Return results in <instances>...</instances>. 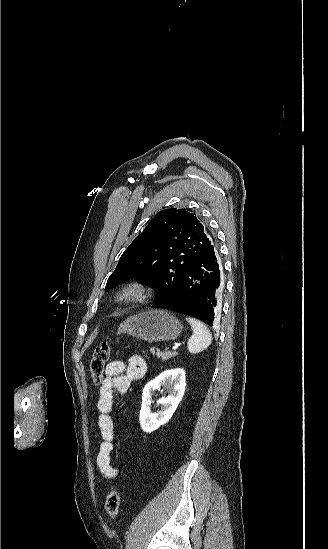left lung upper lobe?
<instances>
[{
  "label": "left lung upper lobe",
  "instance_id": "obj_1",
  "mask_svg": "<svg viewBox=\"0 0 328 549\" xmlns=\"http://www.w3.org/2000/svg\"><path fill=\"white\" fill-rule=\"evenodd\" d=\"M210 246L194 214L185 209L162 210L123 252L105 289L136 276L156 291L155 300H159L172 292L189 265Z\"/></svg>",
  "mask_w": 328,
  "mask_h": 549
}]
</instances>
